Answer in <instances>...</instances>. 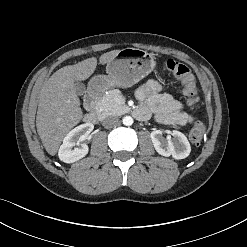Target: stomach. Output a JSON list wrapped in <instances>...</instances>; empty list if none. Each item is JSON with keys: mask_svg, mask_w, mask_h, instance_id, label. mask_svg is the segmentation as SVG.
Here are the masks:
<instances>
[{"mask_svg": "<svg viewBox=\"0 0 247 247\" xmlns=\"http://www.w3.org/2000/svg\"><path fill=\"white\" fill-rule=\"evenodd\" d=\"M155 65L153 57L146 51L125 48L107 63V75L94 76L90 86L101 91L112 87H130L153 71Z\"/></svg>", "mask_w": 247, "mask_h": 247, "instance_id": "0dacf381", "label": "stomach"}]
</instances>
